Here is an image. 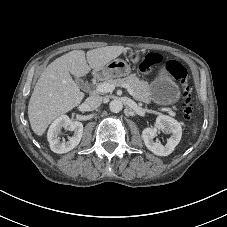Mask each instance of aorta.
<instances>
[{
	"instance_id": "obj_1",
	"label": "aorta",
	"mask_w": 227,
	"mask_h": 227,
	"mask_svg": "<svg viewBox=\"0 0 227 227\" xmlns=\"http://www.w3.org/2000/svg\"><path fill=\"white\" fill-rule=\"evenodd\" d=\"M123 103L119 99H114L109 103V109L111 112L118 113L122 110Z\"/></svg>"
}]
</instances>
